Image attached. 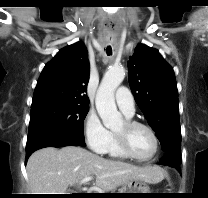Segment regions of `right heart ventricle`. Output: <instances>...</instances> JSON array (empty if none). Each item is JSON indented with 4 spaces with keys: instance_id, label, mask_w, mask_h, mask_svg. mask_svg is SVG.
<instances>
[{
    "instance_id": "e07e8e85",
    "label": "right heart ventricle",
    "mask_w": 208,
    "mask_h": 198,
    "mask_svg": "<svg viewBox=\"0 0 208 198\" xmlns=\"http://www.w3.org/2000/svg\"><path fill=\"white\" fill-rule=\"evenodd\" d=\"M127 117L130 118L129 116H127ZM105 153L108 154L110 157L116 158V159L125 160V159L129 158L119 148V146H118V144H117L113 134H111V139H110L109 145H108L107 150H106Z\"/></svg>"
}]
</instances>
